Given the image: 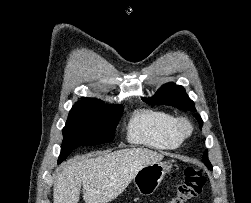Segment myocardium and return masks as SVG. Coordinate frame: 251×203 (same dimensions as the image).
Instances as JSON below:
<instances>
[{
  "instance_id": "f54148a6",
  "label": "myocardium",
  "mask_w": 251,
  "mask_h": 203,
  "mask_svg": "<svg viewBox=\"0 0 251 203\" xmlns=\"http://www.w3.org/2000/svg\"><path fill=\"white\" fill-rule=\"evenodd\" d=\"M176 128L182 137H187L192 132V124L185 117H180L176 120Z\"/></svg>"
}]
</instances>
